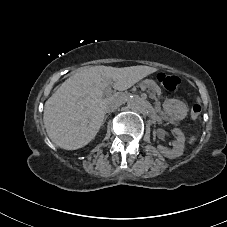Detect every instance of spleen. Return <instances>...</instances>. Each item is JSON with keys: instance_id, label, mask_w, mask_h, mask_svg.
Returning a JSON list of instances; mask_svg holds the SVG:
<instances>
[{"instance_id": "1", "label": "spleen", "mask_w": 227, "mask_h": 227, "mask_svg": "<svg viewBox=\"0 0 227 227\" xmlns=\"http://www.w3.org/2000/svg\"><path fill=\"white\" fill-rule=\"evenodd\" d=\"M195 141H196V137H195L194 135H192V136L189 138L188 143H189V144H193Z\"/></svg>"}]
</instances>
